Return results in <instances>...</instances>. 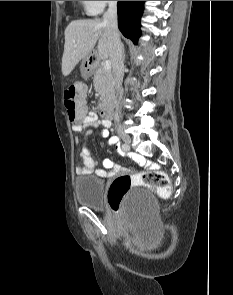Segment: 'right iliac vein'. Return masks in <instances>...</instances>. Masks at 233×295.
Returning a JSON list of instances; mask_svg holds the SVG:
<instances>
[{
	"mask_svg": "<svg viewBox=\"0 0 233 295\" xmlns=\"http://www.w3.org/2000/svg\"><path fill=\"white\" fill-rule=\"evenodd\" d=\"M118 134L119 137L125 142L126 150L124 151L129 150V144L131 143L130 136L122 128H118Z\"/></svg>",
	"mask_w": 233,
	"mask_h": 295,
	"instance_id": "obj_1",
	"label": "right iliac vein"
}]
</instances>
